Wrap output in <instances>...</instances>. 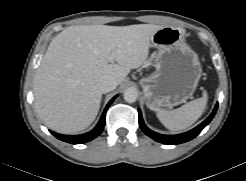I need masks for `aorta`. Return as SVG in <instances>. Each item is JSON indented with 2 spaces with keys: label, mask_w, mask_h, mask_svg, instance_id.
<instances>
[{
  "label": "aorta",
  "mask_w": 246,
  "mask_h": 181,
  "mask_svg": "<svg viewBox=\"0 0 246 181\" xmlns=\"http://www.w3.org/2000/svg\"><path fill=\"white\" fill-rule=\"evenodd\" d=\"M138 98V91L135 88H128L124 91V100L128 103H134Z\"/></svg>",
  "instance_id": "aorta-1"
}]
</instances>
